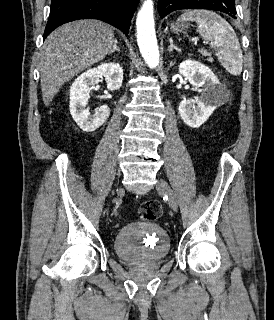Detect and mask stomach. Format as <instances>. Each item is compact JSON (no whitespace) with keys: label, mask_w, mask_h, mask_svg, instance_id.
Segmentation results:
<instances>
[{"label":"stomach","mask_w":274,"mask_h":320,"mask_svg":"<svg viewBox=\"0 0 274 320\" xmlns=\"http://www.w3.org/2000/svg\"><path fill=\"white\" fill-rule=\"evenodd\" d=\"M188 28L185 22H176V24H171V30L174 34H179V32H183L185 34V30Z\"/></svg>","instance_id":"obj_1"}]
</instances>
